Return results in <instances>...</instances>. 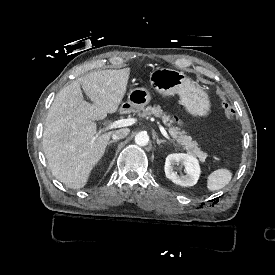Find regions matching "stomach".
<instances>
[{"label": "stomach", "mask_w": 275, "mask_h": 275, "mask_svg": "<svg viewBox=\"0 0 275 275\" xmlns=\"http://www.w3.org/2000/svg\"><path fill=\"white\" fill-rule=\"evenodd\" d=\"M144 80L163 96L179 95V103L193 117H205L211 112L210 96L191 77L183 72L154 67L147 68L143 73ZM152 94L145 87H136L128 93L127 102L121 106V111L140 112L152 101Z\"/></svg>", "instance_id": "0dacf381"}]
</instances>
